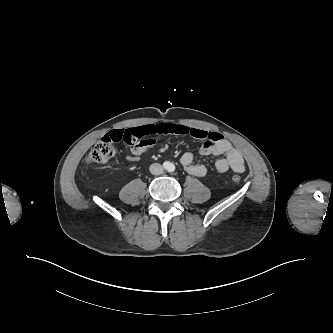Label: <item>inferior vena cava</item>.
Masks as SVG:
<instances>
[{
	"label": "inferior vena cava",
	"mask_w": 333,
	"mask_h": 333,
	"mask_svg": "<svg viewBox=\"0 0 333 333\" xmlns=\"http://www.w3.org/2000/svg\"><path fill=\"white\" fill-rule=\"evenodd\" d=\"M149 170L153 175H160L162 174L164 167L159 163H153L150 165Z\"/></svg>",
	"instance_id": "obj_1"
}]
</instances>
